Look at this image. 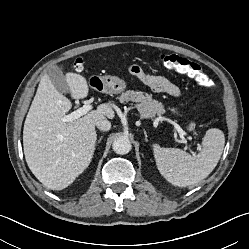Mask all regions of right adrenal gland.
Returning <instances> with one entry per match:
<instances>
[{"mask_svg":"<svg viewBox=\"0 0 249 249\" xmlns=\"http://www.w3.org/2000/svg\"><path fill=\"white\" fill-rule=\"evenodd\" d=\"M102 138H103L102 136L99 138L98 143H100V142H101Z\"/></svg>","mask_w":249,"mask_h":249,"instance_id":"2a0ac1e0","label":"right adrenal gland"}]
</instances>
